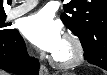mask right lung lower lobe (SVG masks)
<instances>
[{
	"label": "right lung lower lobe",
	"instance_id": "1",
	"mask_svg": "<svg viewBox=\"0 0 107 75\" xmlns=\"http://www.w3.org/2000/svg\"><path fill=\"white\" fill-rule=\"evenodd\" d=\"M0 68L20 75L39 74V61L28 56L25 42L16 29L11 36L0 39Z\"/></svg>",
	"mask_w": 107,
	"mask_h": 75
}]
</instances>
